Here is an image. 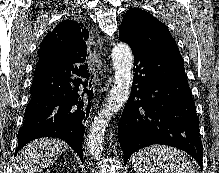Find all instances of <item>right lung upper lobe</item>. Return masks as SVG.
<instances>
[{"label":"right lung upper lobe","mask_w":219,"mask_h":173,"mask_svg":"<svg viewBox=\"0 0 219 173\" xmlns=\"http://www.w3.org/2000/svg\"><path fill=\"white\" fill-rule=\"evenodd\" d=\"M88 38L89 32L82 23L65 20L43 39L38 50V61L67 60L71 57L85 59V41Z\"/></svg>","instance_id":"1"}]
</instances>
